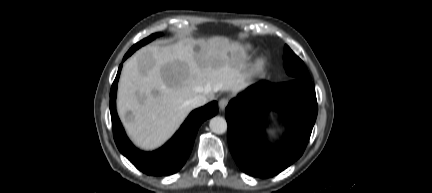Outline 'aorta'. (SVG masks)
Returning <instances> with one entry per match:
<instances>
[{
  "mask_svg": "<svg viewBox=\"0 0 432 193\" xmlns=\"http://www.w3.org/2000/svg\"><path fill=\"white\" fill-rule=\"evenodd\" d=\"M210 130L215 134H223L227 131V122L225 118L215 116L210 120Z\"/></svg>",
  "mask_w": 432,
  "mask_h": 193,
  "instance_id": "obj_1",
  "label": "aorta"
}]
</instances>
